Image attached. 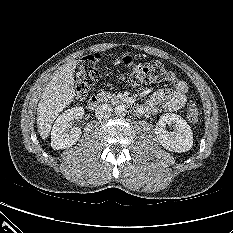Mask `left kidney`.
Returning a JSON list of instances; mask_svg holds the SVG:
<instances>
[{
  "instance_id": "left-kidney-1",
  "label": "left kidney",
  "mask_w": 233,
  "mask_h": 233,
  "mask_svg": "<svg viewBox=\"0 0 233 233\" xmlns=\"http://www.w3.org/2000/svg\"><path fill=\"white\" fill-rule=\"evenodd\" d=\"M166 124H173L176 131H167ZM155 134L161 145L169 151L187 152L193 146L192 130L188 123L177 114H163L155 126Z\"/></svg>"
}]
</instances>
